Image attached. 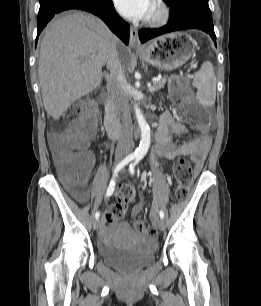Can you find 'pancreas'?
I'll use <instances>...</instances> for the list:
<instances>
[{
	"instance_id": "obj_1",
	"label": "pancreas",
	"mask_w": 261,
	"mask_h": 306,
	"mask_svg": "<svg viewBox=\"0 0 261 306\" xmlns=\"http://www.w3.org/2000/svg\"><path fill=\"white\" fill-rule=\"evenodd\" d=\"M165 82H166V79H161V80H158V81H153V85H152V88L154 89L153 91H150L151 93H154L155 91H158L160 90L161 88L164 87L165 85Z\"/></svg>"
}]
</instances>
